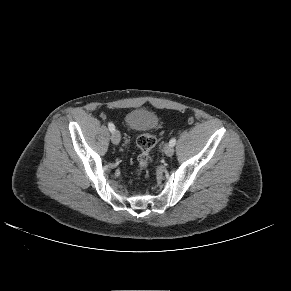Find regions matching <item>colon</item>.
Instances as JSON below:
<instances>
[{"mask_svg":"<svg viewBox=\"0 0 291 291\" xmlns=\"http://www.w3.org/2000/svg\"><path fill=\"white\" fill-rule=\"evenodd\" d=\"M155 143V137L149 133L141 134L137 138V145L140 149V154L138 156L137 175H140L144 171V169L151 163V150L155 146Z\"/></svg>","mask_w":291,"mask_h":291,"instance_id":"colon-1","label":"colon"}]
</instances>
